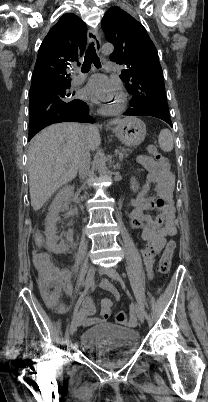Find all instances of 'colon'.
I'll return each instance as SVG.
<instances>
[{
  "mask_svg": "<svg viewBox=\"0 0 208 402\" xmlns=\"http://www.w3.org/2000/svg\"><path fill=\"white\" fill-rule=\"evenodd\" d=\"M148 152L157 159H163L162 155L158 152L154 145H149ZM36 244L41 245L44 242V234H39L35 239ZM176 248L174 239H170L166 244V249L158 262V273L167 275L171 270V259ZM33 257L35 259V268L38 270V275L41 282L38 284V294L44 295L47 301L48 308H54L56 314L63 312V307L60 305L58 296L60 294L59 286L63 285V278L59 277L57 267L53 262H50V257L47 256L46 250H34ZM115 321L120 325L128 324L127 314L123 311L115 313Z\"/></svg>",
  "mask_w": 208,
  "mask_h": 402,
  "instance_id": "1",
  "label": "colon"
}]
</instances>
